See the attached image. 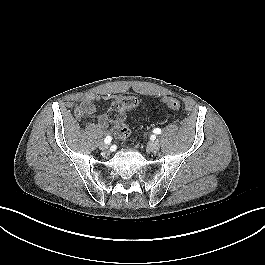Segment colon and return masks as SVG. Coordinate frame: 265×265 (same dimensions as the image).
I'll use <instances>...</instances> for the list:
<instances>
[{"instance_id":"1","label":"colon","mask_w":265,"mask_h":265,"mask_svg":"<svg viewBox=\"0 0 265 265\" xmlns=\"http://www.w3.org/2000/svg\"><path fill=\"white\" fill-rule=\"evenodd\" d=\"M164 102L167 106L176 111L179 110L180 101L174 97H165ZM141 101L135 96H124L116 99L108 110L107 117L112 123V132L117 139L124 140L129 135V129L125 123L128 110L139 106ZM76 114L79 118H85L88 114L86 108L80 107Z\"/></svg>"}]
</instances>
